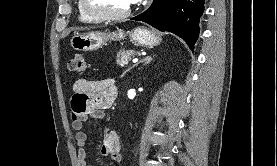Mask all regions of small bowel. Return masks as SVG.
I'll return each mask as SVG.
<instances>
[{
  "label": "small bowel",
  "mask_w": 277,
  "mask_h": 166,
  "mask_svg": "<svg viewBox=\"0 0 277 166\" xmlns=\"http://www.w3.org/2000/svg\"><path fill=\"white\" fill-rule=\"evenodd\" d=\"M71 127L76 131L75 139L79 147L77 161L79 166H92L88 163L85 145L87 134L84 124L92 119H101L104 110L110 108L117 95L113 81L78 79L72 86ZM100 154L109 157L113 162L121 161V144L115 130L108 129L104 133Z\"/></svg>",
  "instance_id": "c3829d8e"
}]
</instances>
